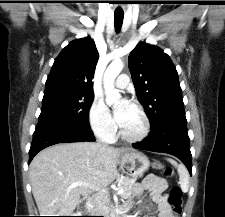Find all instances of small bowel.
Segmentation results:
<instances>
[{
    "mask_svg": "<svg viewBox=\"0 0 225 217\" xmlns=\"http://www.w3.org/2000/svg\"><path fill=\"white\" fill-rule=\"evenodd\" d=\"M165 188L166 183L163 179L149 174L141 183L135 185L134 198L128 201L127 207L131 208L135 204V199L142 195L143 192L148 191L152 203L143 206V209L147 212V217H177L163 195Z\"/></svg>",
    "mask_w": 225,
    "mask_h": 217,
    "instance_id": "c3829d8e",
    "label": "small bowel"
}]
</instances>
